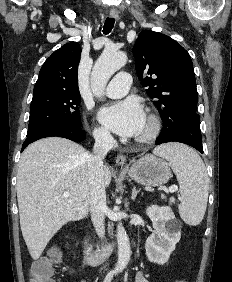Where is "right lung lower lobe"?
I'll return each mask as SVG.
<instances>
[{
    "label": "right lung lower lobe",
    "mask_w": 232,
    "mask_h": 282,
    "mask_svg": "<svg viewBox=\"0 0 232 282\" xmlns=\"http://www.w3.org/2000/svg\"><path fill=\"white\" fill-rule=\"evenodd\" d=\"M85 132L81 127H76L66 123H59L44 127L34 133L27 135L25 142L22 145V151L30 143L45 137L58 136L64 137L75 142L83 141L85 139ZM21 151V152H22Z\"/></svg>",
    "instance_id": "obj_1"
}]
</instances>
